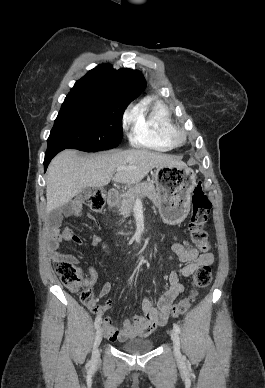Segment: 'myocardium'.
<instances>
[{
    "label": "myocardium",
    "instance_id": "1",
    "mask_svg": "<svg viewBox=\"0 0 265 388\" xmlns=\"http://www.w3.org/2000/svg\"><path fill=\"white\" fill-rule=\"evenodd\" d=\"M171 138L174 144H182L185 140V131L173 126L171 130Z\"/></svg>",
    "mask_w": 265,
    "mask_h": 388
}]
</instances>
